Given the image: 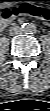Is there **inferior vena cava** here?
Returning a JSON list of instances; mask_svg holds the SVG:
<instances>
[{
  "label": "inferior vena cava",
  "mask_w": 50,
  "mask_h": 111,
  "mask_svg": "<svg viewBox=\"0 0 50 111\" xmlns=\"http://www.w3.org/2000/svg\"><path fill=\"white\" fill-rule=\"evenodd\" d=\"M21 33V28H19L18 26H15V27H12L10 29V34L13 36V35H17Z\"/></svg>",
  "instance_id": "inferior-vena-cava-1"
}]
</instances>
